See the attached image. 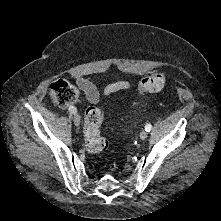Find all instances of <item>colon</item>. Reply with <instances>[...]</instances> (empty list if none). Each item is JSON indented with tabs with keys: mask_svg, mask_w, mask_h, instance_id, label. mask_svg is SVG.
<instances>
[{
	"mask_svg": "<svg viewBox=\"0 0 221 221\" xmlns=\"http://www.w3.org/2000/svg\"><path fill=\"white\" fill-rule=\"evenodd\" d=\"M165 81V74L161 71L156 72L142 79L137 89L140 93L158 92L164 87ZM50 96L56 104L66 106L77 101L78 91L67 81L57 80L51 84ZM103 119L104 112L100 107L90 106L85 112V143L91 153H100L107 148L106 139L100 135Z\"/></svg>",
	"mask_w": 221,
	"mask_h": 221,
	"instance_id": "1",
	"label": "colon"
}]
</instances>
